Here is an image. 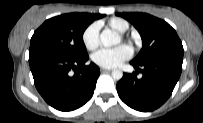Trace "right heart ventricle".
Here are the masks:
<instances>
[{"label": "right heart ventricle", "mask_w": 203, "mask_h": 123, "mask_svg": "<svg viewBox=\"0 0 203 123\" xmlns=\"http://www.w3.org/2000/svg\"><path fill=\"white\" fill-rule=\"evenodd\" d=\"M109 25L120 33H124L128 30L129 24L126 20L118 17L111 18L109 20Z\"/></svg>", "instance_id": "1"}]
</instances>
